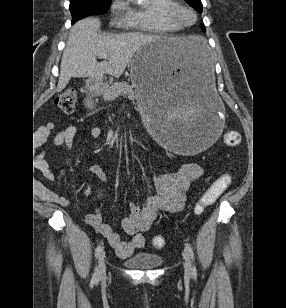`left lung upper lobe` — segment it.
<instances>
[{
    "mask_svg": "<svg viewBox=\"0 0 286 308\" xmlns=\"http://www.w3.org/2000/svg\"><path fill=\"white\" fill-rule=\"evenodd\" d=\"M191 7L199 12H202L201 0H185ZM202 29L205 31V27L202 25Z\"/></svg>",
    "mask_w": 286,
    "mask_h": 308,
    "instance_id": "5c2ea615",
    "label": "left lung upper lobe"
}]
</instances>
